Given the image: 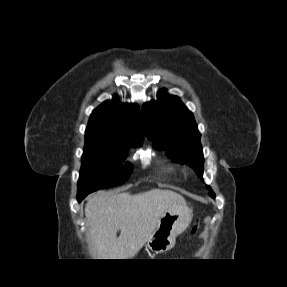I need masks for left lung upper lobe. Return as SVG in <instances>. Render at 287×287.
<instances>
[{
	"label": "left lung upper lobe",
	"instance_id": "5c2ea615",
	"mask_svg": "<svg viewBox=\"0 0 287 287\" xmlns=\"http://www.w3.org/2000/svg\"><path fill=\"white\" fill-rule=\"evenodd\" d=\"M143 128L157 149H166L167 155L194 168L199 177L203 175V153L193 114L177 96L165 91L158 93L157 101L143 105ZM210 190V196L215 193Z\"/></svg>",
	"mask_w": 287,
	"mask_h": 287
}]
</instances>
